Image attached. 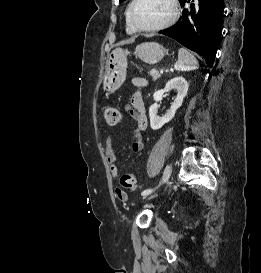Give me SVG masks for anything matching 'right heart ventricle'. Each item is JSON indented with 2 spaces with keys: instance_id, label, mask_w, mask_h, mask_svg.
Wrapping results in <instances>:
<instances>
[{
  "instance_id": "obj_1",
  "label": "right heart ventricle",
  "mask_w": 261,
  "mask_h": 273,
  "mask_svg": "<svg viewBox=\"0 0 261 273\" xmlns=\"http://www.w3.org/2000/svg\"><path fill=\"white\" fill-rule=\"evenodd\" d=\"M126 30L128 33H134L135 31L131 28V26L128 23L127 16H126Z\"/></svg>"
}]
</instances>
